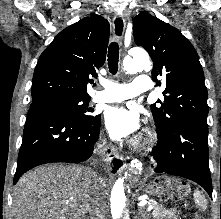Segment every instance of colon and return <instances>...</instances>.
I'll list each match as a JSON object with an SVG mask.
<instances>
[{"mask_svg":"<svg viewBox=\"0 0 221 219\" xmlns=\"http://www.w3.org/2000/svg\"><path fill=\"white\" fill-rule=\"evenodd\" d=\"M185 189L183 188V187H180L179 188V191H184ZM192 219H202V218H200V217H194V218H192Z\"/></svg>","mask_w":221,"mask_h":219,"instance_id":"5ec220e1","label":"colon"}]
</instances>
